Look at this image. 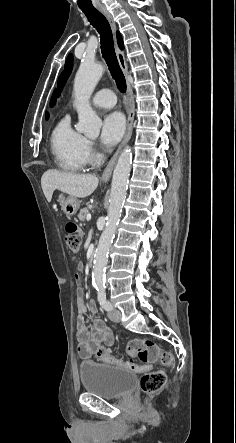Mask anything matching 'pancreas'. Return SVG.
I'll return each instance as SVG.
<instances>
[{"label":"pancreas","mask_w":236,"mask_h":443,"mask_svg":"<svg viewBox=\"0 0 236 443\" xmlns=\"http://www.w3.org/2000/svg\"><path fill=\"white\" fill-rule=\"evenodd\" d=\"M89 214V209L88 208H82L78 214V218L80 221L84 222L85 219L87 218V215Z\"/></svg>","instance_id":"pancreas-1"}]
</instances>
